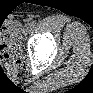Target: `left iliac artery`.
<instances>
[{
    "mask_svg": "<svg viewBox=\"0 0 93 93\" xmlns=\"http://www.w3.org/2000/svg\"><path fill=\"white\" fill-rule=\"evenodd\" d=\"M35 21H32L31 23H30V26H35Z\"/></svg>",
    "mask_w": 93,
    "mask_h": 93,
    "instance_id": "44dca946",
    "label": "left iliac artery"
}]
</instances>
